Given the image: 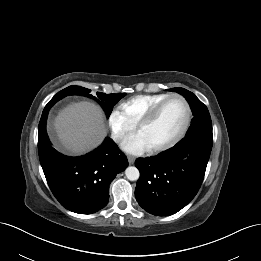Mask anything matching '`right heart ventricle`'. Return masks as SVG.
<instances>
[{
	"mask_svg": "<svg viewBox=\"0 0 261 261\" xmlns=\"http://www.w3.org/2000/svg\"><path fill=\"white\" fill-rule=\"evenodd\" d=\"M167 93L137 95L121 103V109L133 125L147 115L160 101L168 97Z\"/></svg>",
	"mask_w": 261,
	"mask_h": 261,
	"instance_id": "1",
	"label": "right heart ventricle"
}]
</instances>
